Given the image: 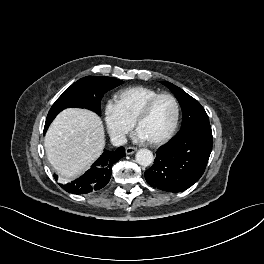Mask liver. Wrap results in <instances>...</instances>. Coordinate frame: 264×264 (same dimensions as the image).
Returning a JSON list of instances; mask_svg holds the SVG:
<instances>
[{
  "instance_id": "6515ba94",
  "label": "liver",
  "mask_w": 264,
  "mask_h": 264,
  "mask_svg": "<svg viewBox=\"0 0 264 264\" xmlns=\"http://www.w3.org/2000/svg\"><path fill=\"white\" fill-rule=\"evenodd\" d=\"M47 158L63 182L82 175L105 146L101 118L86 109L63 110L45 136Z\"/></svg>"
}]
</instances>
